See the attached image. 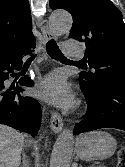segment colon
<instances>
[{
    "label": "colon",
    "instance_id": "1",
    "mask_svg": "<svg viewBox=\"0 0 125 167\" xmlns=\"http://www.w3.org/2000/svg\"><path fill=\"white\" fill-rule=\"evenodd\" d=\"M117 167H125V146L119 151Z\"/></svg>",
    "mask_w": 125,
    "mask_h": 167
}]
</instances>
